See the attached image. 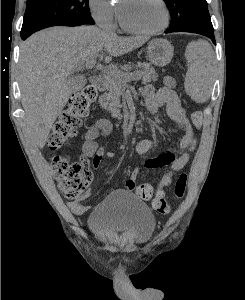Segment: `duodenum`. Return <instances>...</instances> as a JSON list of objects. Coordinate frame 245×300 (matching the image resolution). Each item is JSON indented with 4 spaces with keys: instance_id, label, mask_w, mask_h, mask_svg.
<instances>
[{
    "instance_id": "duodenum-1",
    "label": "duodenum",
    "mask_w": 245,
    "mask_h": 300,
    "mask_svg": "<svg viewBox=\"0 0 245 300\" xmlns=\"http://www.w3.org/2000/svg\"><path fill=\"white\" fill-rule=\"evenodd\" d=\"M90 82H91L92 87L96 91L100 92V91H102L104 89L105 83H104V80H103L102 77H100V76H93V77H91Z\"/></svg>"
}]
</instances>
